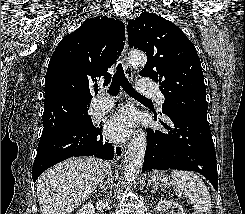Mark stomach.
I'll return each mask as SVG.
<instances>
[{"label":"stomach","mask_w":245,"mask_h":214,"mask_svg":"<svg viewBox=\"0 0 245 214\" xmlns=\"http://www.w3.org/2000/svg\"><path fill=\"white\" fill-rule=\"evenodd\" d=\"M150 181L153 183L155 187H168L172 183L170 176L165 175L163 173H153L150 178Z\"/></svg>","instance_id":"1"}]
</instances>
